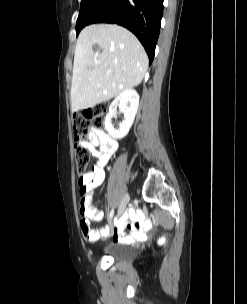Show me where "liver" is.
I'll use <instances>...</instances> for the list:
<instances>
[{
  "label": "liver",
  "mask_w": 247,
  "mask_h": 304,
  "mask_svg": "<svg viewBox=\"0 0 247 304\" xmlns=\"http://www.w3.org/2000/svg\"><path fill=\"white\" fill-rule=\"evenodd\" d=\"M94 45L99 50L94 51ZM147 68L143 46L124 27L115 24L85 27L76 42L71 110L93 107L139 85Z\"/></svg>",
  "instance_id": "obj_1"
}]
</instances>
